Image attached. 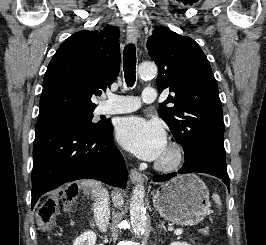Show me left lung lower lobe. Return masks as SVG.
Instances as JSON below:
<instances>
[{"label":"left lung lower lobe","mask_w":266,"mask_h":245,"mask_svg":"<svg viewBox=\"0 0 266 245\" xmlns=\"http://www.w3.org/2000/svg\"><path fill=\"white\" fill-rule=\"evenodd\" d=\"M207 173L216 176L227 185L230 190V180L226 167V155L224 147L214 142L201 143L192 157L185 160L184 165L178 172L155 176L154 182H164L177 174Z\"/></svg>","instance_id":"0a47b994"}]
</instances>
